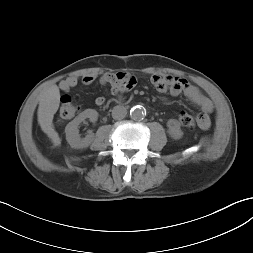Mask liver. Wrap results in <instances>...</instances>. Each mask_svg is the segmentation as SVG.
I'll return each instance as SVG.
<instances>
[{
	"instance_id": "6515ba94",
	"label": "liver",
	"mask_w": 253,
	"mask_h": 253,
	"mask_svg": "<svg viewBox=\"0 0 253 253\" xmlns=\"http://www.w3.org/2000/svg\"><path fill=\"white\" fill-rule=\"evenodd\" d=\"M60 104V91L57 85H51L39 95L38 123L42 131L51 139L54 146L61 144V139L54 129L53 118Z\"/></svg>"
}]
</instances>
